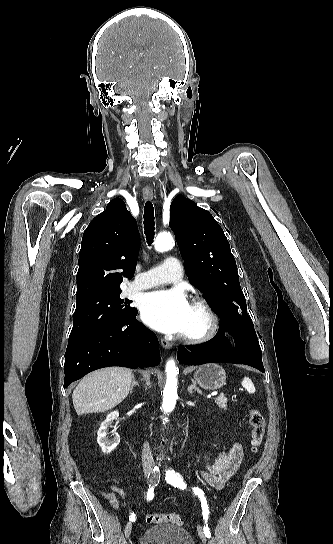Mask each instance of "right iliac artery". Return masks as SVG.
I'll return each mask as SVG.
<instances>
[{
    "instance_id": "82829eb1",
    "label": "right iliac artery",
    "mask_w": 333,
    "mask_h": 544,
    "mask_svg": "<svg viewBox=\"0 0 333 544\" xmlns=\"http://www.w3.org/2000/svg\"><path fill=\"white\" fill-rule=\"evenodd\" d=\"M154 486H155V484H153V483L149 484V489H148V492H147V499L148 500H152L154 498ZM129 520L132 521V522L135 521V514L134 513L130 514Z\"/></svg>"
}]
</instances>
